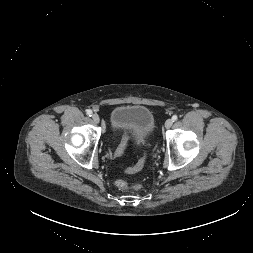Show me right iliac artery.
Here are the masks:
<instances>
[{"mask_svg":"<svg viewBox=\"0 0 253 253\" xmlns=\"http://www.w3.org/2000/svg\"><path fill=\"white\" fill-rule=\"evenodd\" d=\"M87 115L90 116V117L92 116V111L90 109L87 110Z\"/></svg>","mask_w":253,"mask_h":253,"instance_id":"obj_1","label":"right iliac artery"}]
</instances>
